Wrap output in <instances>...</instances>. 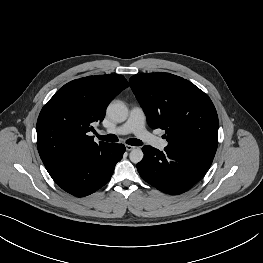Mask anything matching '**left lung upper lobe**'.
<instances>
[{
    "mask_svg": "<svg viewBox=\"0 0 263 263\" xmlns=\"http://www.w3.org/2000/svg\"><path fill=\"white\" fill-rule=\"evenodd\" d=\"M129 83L149 125L166 131L168 146L214 158L218 116L202 90L170 73L138 74Z\"/></svg>",
    "mask_w": 263,
    "mask_h": 263,
    "instance_id": "obj_1",
    "label": "left lung upper lobe"
}]
</instances>
